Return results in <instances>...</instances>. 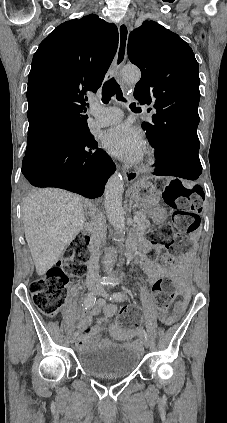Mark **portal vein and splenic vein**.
<instances>
[{"instance_id": "portal-vein-and-splenic-vein-1", "label": "portal vein and splenic vein", "mask_w": 227, "mask_h": 423, "mask_svg": "<svg viewBox=\"0 0 227 423\" xmlns=\"http://www.w3.org/2000/svg\"><path fill=\"white\" fill-rule=\"evenodd\" d=\"M137 219H138V216H135V217H134V221H137Z\"/></svg>"}]
</instances>
